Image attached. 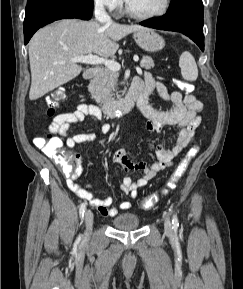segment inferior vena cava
<instances>
[{"mask_svg": "<svg viewBox=\"0 0 243 289\" xmlns=\"http://www.w3.org/2000/svg\"><path fill=\"white\" fill-rule=\"evenodd\" d=\"M95 18L104 25H110L112 23V19L107 14L104 7V2L102 0L96 2L95 4Z\"/></svg>", "mask_w": 243, "mask_h": 289, "instance_id": "602c4592", "label": "inferior vena cava"}]
</instances>
